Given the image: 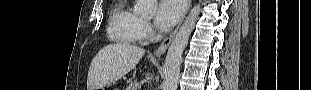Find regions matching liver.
Wrapping results in <instances>:
<instances>
[{"instance_id": "6515ba94", "label": "liver", "mask_w": 311, "mask_h": 90, "mask_svg": "<svg viewBox=\"0 0 311 90\" xmlns=\"http://www.w3.org/2000/svg\"><path fill=\"white\" fill-rule=\"evenodd\" d=\"M145 54L135 45L115 43L102 48L89 67L87 90L109 85L130 72Z\"/></svg>"}]
</instances>
